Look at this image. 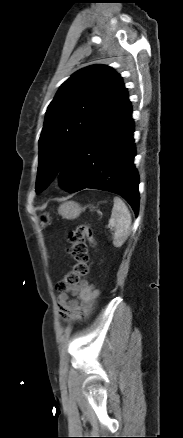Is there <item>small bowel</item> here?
<instances>
[{
	"label": "small bowel",
	"instance_id": "obj_1",
	"mask_svg": "<svg viewBox=\"0 0 183 438\" xmlns=\"http://www.w3.org/2000/svg\"><path fill=\"white\" fill-rule=\"evenodd\" d=\"M99 291L87 281L69 287L59 296L58 307L61 317L66 321L82 320L90 316L95 308Z\"/></svg>",
	"mask_w": 183,
	"mask_h": 438
}]
</instances>
